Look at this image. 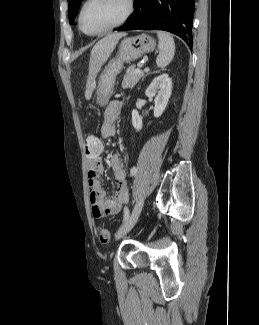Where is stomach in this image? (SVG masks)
Instances as JSON below:
<instances>
[{"instance_id":"0dacf381","label":"stomach","mask_w":259,"mask_h":325,"mask_svg":"<svg viewBox=\"0 0 259 325\" xmlns=\"http://www.w3.org/2000/svg\"><path fill=\"white\" fill-rule=\"evenodd\" d=\"M155 40L146 34L128 37L121 41L117 56L112 59L100 75L97 86V102L107 104L113 93L116 76L123 69L124 63H130L142 57L143 54L155 49Z\"/></svg>"}]
</instances>
